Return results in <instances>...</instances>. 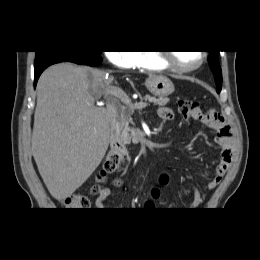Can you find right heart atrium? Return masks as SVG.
Wrapping results in <instances>:
<instances>
[{"label": "right heart atrium", "instance_id": "1", "mask_svg": "<svg viewBox=\"0 0 260 260\" xmlns=\"http://www.w3.org/2000/svg\"><path fill=\"white\" fill-rule=\"evenodd\" d=\"M109 61L121 69H130L135 66L136 52L134 51H110L107 52Z\"/></svg>", "mask_w": 260, "mask_h": 260}]
</instances>
